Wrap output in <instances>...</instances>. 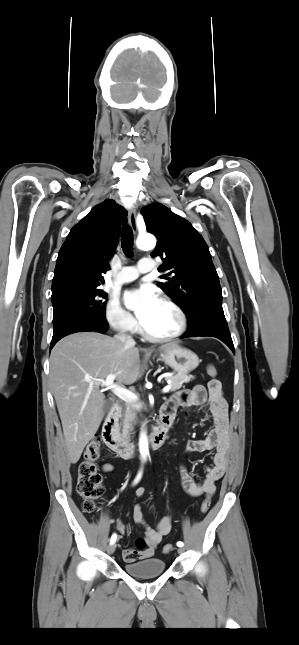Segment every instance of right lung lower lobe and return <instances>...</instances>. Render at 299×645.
Wrapping results in <instances>:
<instances>
[{
  "label": "right lung lower lobe",
  "mask_w": 299,
  "mask_h": 645,
  "mask_svg": "<svg viewBox=\"0 0 299 645\" xmlns=\"http://www.w3.org/2000/svg\"><path fill=\"white\" fill-rule=\"evenodd\" d=\"M108 330V324L107 323H101L93 320H84L77 322L75 324H72L60 332L53 334L52 341H51V346L50 349L63 337L76 333V332H90V331H96L99 333H105Z\"/></svg>",
  "instance_id": "1"
}]
</instances>
